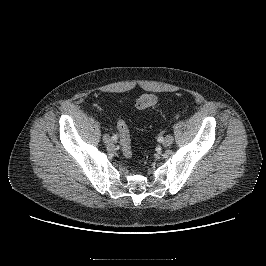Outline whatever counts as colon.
<instances>
[{"label":"colon","instance_id":"colon-1","mask_svg":"<svg viewBox=\"0 0 266 266\" xmlns=\"http://www.w3.org/2000/svg\"><path fill=\"white\" fill-rule=\"evenodd\" d=\"M156 104V97L153 94H143L135 101V107L140 110L148 109ZM117 129L120 135V147L122 154L126 158L132 156L131 139L129 128L125 121L120 120L117 123Z\"/></svg>","mask_w":266,"mask_h":266}]
</instances>
